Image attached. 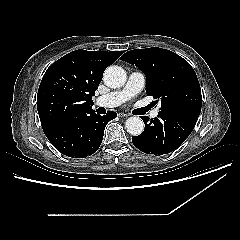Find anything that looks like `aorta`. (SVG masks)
Returning a JSON list of instances; mask_svg holds the SVG:
<instances>
[{"instance_id":"aorta-1","label":"aorta","mask_w":240,"mask_h":240,"mask_svg":"<svg viewBox=\"0 0 240 240\" xmlns=\"http://www.w3.org/2000/svg\"><path fill=\"white\" fill-rule=\"evenodd\" d=\"M126 72L119 66H109L103 76L105 84L110 88H120L126 82ZM127 132L133 136H138L144 131V122L141 118L133 116L126 120Z\"/></svg>"}]
</instances>
